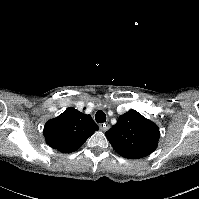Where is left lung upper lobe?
I'll return each instance as SVG.
<instances>
[{"label":"left lung upper lobe","instance_id":"left-lung-upper-lobe-1","mask_svg":"<svg viewBox=\"0 0 199 199\" xmlns=\"http://www.w3.org/2000/svg\"><path fill=\"white\" fill-rule=\"evenodd\" d=\"M105 136L122 157L136 159L148 156L156 149L160 132L155 123L137 111L129 110Z\"/></svg>","mask_w":199,"mask_h":199}]
</instances>
